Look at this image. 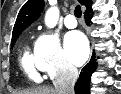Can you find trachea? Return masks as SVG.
I'll use <instances>...</instances> for the list:
<instances>
[{"instance_id": "trachea-1", "label": "trachea", "mask_w": 121, "mask_h": 94, "mask_svg": "<svg viewBox=\"0 0 121 94\" xmlns=\"http://www.w3.org/2000/svg\"><path fill=\"white\" fill-rule=\"evenodd\" d=\"M74 15H75L77 18H80V17H81L82 11H81L80 5H77V6L75 7Z\"/></svg>"}]
</instances>
